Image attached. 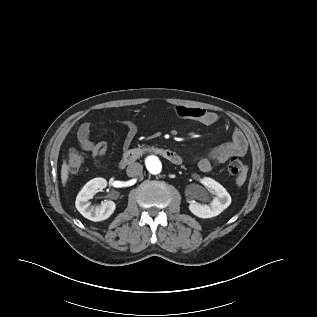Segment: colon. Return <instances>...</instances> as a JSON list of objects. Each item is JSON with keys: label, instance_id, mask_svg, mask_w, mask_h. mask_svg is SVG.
Returning a JSON list of instances; mask_svg holds the SVG:
<instances>
[{"label": "colon", "instance_id": "5ec220e1", "mask_svg": "<svg viewBox=\"0 0 317 317\" xmlns=\"http://www.w3.org/2000/svg\"><path fill=\"white\" fill-rule=\"evenodd\" d=\"M83 163H84L83 154L76 149H71L66 160L68 173L76 174L81 169ZM227 171L230 175L235 177L237 180H241L247 174V167L239 159L232 158L227 164Z\"/></svg>", "mask_w": 317, "mask_h": 317}]
</instances>
